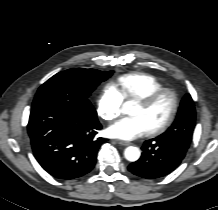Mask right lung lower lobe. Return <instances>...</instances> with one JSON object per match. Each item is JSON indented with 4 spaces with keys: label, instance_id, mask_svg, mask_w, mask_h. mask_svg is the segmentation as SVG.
<instances>
[{
    "label": "right lung lower lobe",
    "instance_id": "right-lung-lower-lobe-1",
    "mask_svg": "<svg viewBox=\"0 0 218 210\" xmlns=\"http://www.w3.org/2000/svg\"><path fill=\"white\" fill-rule=\"evenodd\" d=\"M101 128L97 114L51 102L32 106L27 126L36 160L62 180L93 169L97 151L106 140L96 137Z\"/></svg>",
    "mask_w": 218,
    "mask_h": 210
}]
</instances>
